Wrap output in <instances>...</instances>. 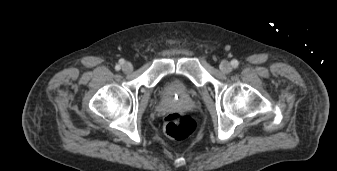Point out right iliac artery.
I'll return each instance as SVG.
<instances>
[{
    "label": "right iliac artery",
    "instance_id": "1",
    "mask_svg": "<svg viewBox=\"0 0 337 171\" xmlns=\"http://www.w3.org/2000/svg\"><path fill=\"white\" fill-rule=\"evenodd\" d=\"M119 62H120V64H123V63H124V60L121 59ZM115 69H116V70H120V66H119V65H116V66H115Z\"/></svg>",
    "mask_w": 337,
    "mask_h": 171
}]
</instances>
